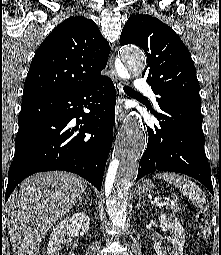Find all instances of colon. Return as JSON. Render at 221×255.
<instances>
[{"label": "colon", "mask_w": 221, "mask_h": 255, "mask_svg": "<svg viewBox=\"0 0 221 255\" xmlns=\"http://www.w3.org/2000/svg\"><path fill=\"white\" fill-rule=\"evenodd\" d=\"M197 223L201 237L206 240L211 233L210 215L207 207L202 208L197 215Z\"/></svg>", "instance_id": "obj_1"}]
</instances>
